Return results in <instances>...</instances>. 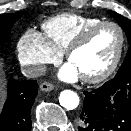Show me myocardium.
<instances>
[{
  "instance_id": "f54148a6",
  "label": "myocardium",
  "mask_w": 131,
  "mask_h": 131,
  "mask_svg": "<svg viewBox=\"0 0 131 131\" xmlns=\"http://www.w3.org/2000/svg\"><path fill=\"white\" fill-rule=\"evenodd\" d=\"M104 26H112L117 29L120 37L119 47L117 50V53L111 62V64L102 72L92 75V76H80L81 79L90 84H96L105 81L107 78H109L118 68L121 59L123 57V53L125 50L126 45V36L123 28L114 21H100L95 24L90 25L89 27L85 28L66 48L65 50V57L67 61L70 60L71 56L74 52H76L78 49L83 47L90 37L100 28Z\"/></svg>"
}]
</instances>
